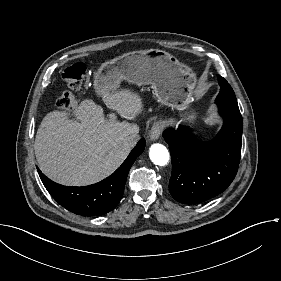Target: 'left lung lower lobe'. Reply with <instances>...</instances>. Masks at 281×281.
<instances>
[{
  "label": "left lung lower lobe",
  "instance_id": "1",
  "mask_svg": "<svg viewBox=\"0 0 281 281\" xmlns=\"http://www.w3.org/2000/svg\"><path fill=\"white\" fill-rule=\"evenodd\" d=\"M223 127L210 143L196 140L189 127L163 133L172 159L169 191L183 204H198L222 193L233 181L241 156L243 121L237 101L218 100Z\"/></svg>",
  "mask_w": 281,
  "mask_h": 281
}]
</instances>
